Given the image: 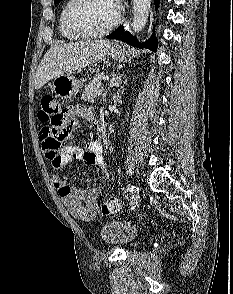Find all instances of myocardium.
Here are the masks:
<instances>
[{
    "label": "myocardium",
    "instance_id": "obj_1",
    "mask_svg": "<svg viewBox=\"0 0 233 294\" xmlns=\"http://www.w3.org/2000/svg\"><path fill=\"white\" fill-rule=\"evenodd\" d=\"M84 1L85 0H72V3L67 12V24L76 35L82 38H98L109 34L120 24L122 15L119 11H117L115 19L106 28L95 32L82 29L76 21V11Z\"/></svg>",
    "mask_w": 233,
    "mask_h": 294
}]
</instances>
